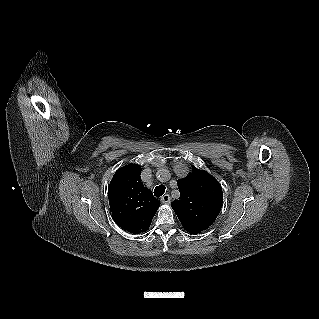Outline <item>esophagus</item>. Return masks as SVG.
Returning <instances> with one entry per match:
<instances>
[{"label":"esophagus","mask_w":319,"mask_h":319,"mask_svg":"<svg viewBox=\"0 0 319 319\" xmlns=\"http://www.w3.org/2000/svg\"><path fill=\"white\" fill-rule=\"evenodd\" d=\"M161 203L162 204H170V196L168 194H165L161 197Z\"/></svg>","instance_id":"1"}]
</instances>
